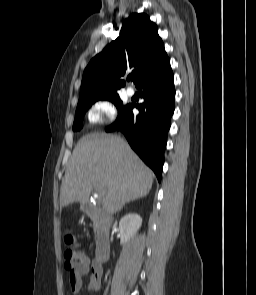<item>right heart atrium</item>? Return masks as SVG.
<instances>
[{
  "label": "right heart atrium",
  "mask_w": 256,
  "mask_h": 295,
  "mask_svg": "<svg viewBox=\"0 0 256 295\" xmlns=\"http://www.w3.org/2000/svg\"><path fill=\"white\" fill-rule=\"evenodd\" d=\"M92 117L98 122H113L117 117V109L109 100H98L92 108Z\"/></svg>",
  "instance_id": "1"
}]
</instances>
